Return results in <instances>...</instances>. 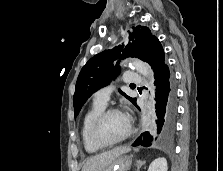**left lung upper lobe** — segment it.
I'll return each mask as SVG.
<instances>
[{
	"mask_svg": "<svg viewBox=\"0 0 223 171\" xmlns=\"http://www.w3.org/2000/svg\"><path fill=\"white\" fill-rule=\"evenodd\" d=\"M159 41L152 35L148 27L138 25L129 32L128 41L125 45H119L113 49L103 51L91 58L81 69L73 97L75 117L79 114L87 99L98 89L110 83L119 73V61L114 66V61L127 57H136L147 61L153 45ZM134 105L136 99L127 96L120 91Z\"/></svg>",
	"mask_w": 223,
	"mask_h": 171,
	"instance_id": "left-lung-upper-lobe-1",
	"label": "left lung upper lobe"
}]
</instances>
